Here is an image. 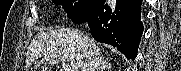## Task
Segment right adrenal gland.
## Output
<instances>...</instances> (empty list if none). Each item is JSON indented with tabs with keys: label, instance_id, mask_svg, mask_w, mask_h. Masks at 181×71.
<instances>
[{
	"label": "right adrenal gland",
	"instance_id": "obj_1",
	"mask_svg": "<svg viewBox=\"0 0 181 71\" xmlns=\"http://www.w3.org/2000/svg\"><path fill=\"white\" fill-rule=\"evenodd\" d=\"M112 67L109 58L102 57L101 71L110 70Z\"/></svg>",
	"mask_w": 181,
	"mask_h": 71
}]
</instances>
